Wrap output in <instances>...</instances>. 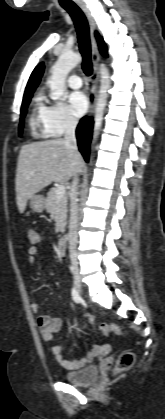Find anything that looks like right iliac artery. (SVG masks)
<instances>
[{
  "instance_id": "right-iliac-artery-1",
  "label": "right iliac artery",
  "mask_w": 165,
  "mask_h": 419,
  "mask_svg": "<svg viewBox=\"0 0 165 419\" xmlns=\"http://www.w3.org/2000/svg\"><path fill=\"white\" fill-rule=\"evenodd\" d=\"M70 269H71V271H73V268L72 267ZM72 298H73V300L76 303H80L81 302V297H80V295H79V293H78V291H77V289H76L75 286L72 288Z\"/></svg>"
}]
</instances>
